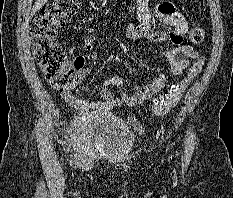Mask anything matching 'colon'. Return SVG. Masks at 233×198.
Segmentation results:
<instances>
[{"instance_id": "obj_1", "label": "colon", "mask_w": 233, "mask_h": 198, "mask_svg": "<svg viewBox=\"0 0 233 198\" xmlns=\"http://www.w3.org/2000/svg\"><path fill=\"white\" fill-rule=\"evenodd\" d=\"M80 0H53L46 5L41 14L33 21L30 31L35 49L36 60L51 88L60 93H69L76 84L75 71L66 64V57L57 44L58 30L66 24L68 18L78 9ZM190 41L198 43L204 38V30L200 26L189 32ZM78 60L77 63H81ZM204 64V57L199 58L189 69L186 77L152 106L156 115L170 112L179 102L190 82L199 74Z\"/></svg>"}]
</instances>
